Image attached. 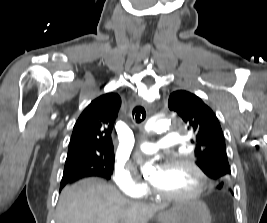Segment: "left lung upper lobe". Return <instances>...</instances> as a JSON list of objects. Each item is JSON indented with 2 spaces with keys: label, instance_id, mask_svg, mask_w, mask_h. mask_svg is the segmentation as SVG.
I'll use <instances>...</instances> for the list:
<instances>
[{
  "label": "left lung upper lobe",
  "instance_id": "left-lung-upper-lobe-1",
  "mask_svg": "<svg viewBox=\"0 0 267 223\" xmlns=\"http://www.w3.org/2000/svg\"><path fill=\"white\" fill-rule=\"evenodd\" d=\"M169 109L178 113L195 138L196 164L216 182H227L231 170L220 123L213 111L196 95L178 90L169 97Z\"/></svg>",
  "mask_w": 267,
  "mask_h": 223
}]
</instances>
